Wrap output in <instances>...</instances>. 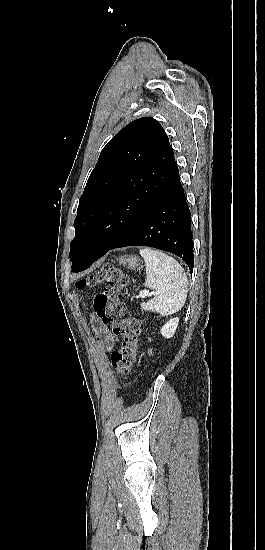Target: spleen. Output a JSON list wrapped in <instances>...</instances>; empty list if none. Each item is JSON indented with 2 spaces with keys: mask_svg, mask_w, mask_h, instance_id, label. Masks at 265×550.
Instances as JSON below:
<instances>
[{
  "mask_svg": "<svg viewBox=\"0 0 265 550\" xmlns=\"http://www.w3.org/2000/svg\"><path fill=\"white\" fill-rule=\"evenodd\" d=\"M146 265L145 286L155 290L154 298L141 303L142 310L167 316L178 312L188 293V280L182 266L169 255L151 248H142Z\"/></svg>",
  "mask_w": 265,
  "mask_h": 550,
  "instance_id": "obj_1",
  "label": "spleen"
}]
</instances>
